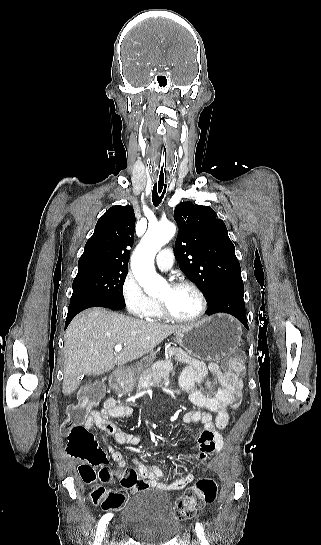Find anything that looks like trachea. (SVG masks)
Listing matches in <instances>:
<instances>
[{
    "instance_id": "3493384b",
    "label": "trachea",
    "mask_w": 321,
    "mask_h": 545,
    "mask_svg": "<svg viewBox=\"0 0 321 545\" xmlns=\"http://www.w3.org/2000/svg\"><path fill=\"white\" fill-rule=\"evenodd\" d=\"M163 148H161L160 152H159V159H158V163H157V174H154L153 178H152V183H151V186L153 188V191H152V201H153V204L155 206L159 205V203L161 202L164 194H165V191H166V186H167V178L165 176L166 174V168L168 166V162H169V159H168V152L166 150V148H164L166 145L163 143L161 145Z\"/></svg>"
}]
</instances>
